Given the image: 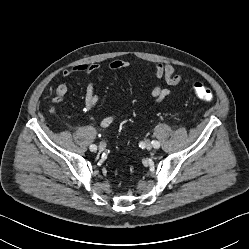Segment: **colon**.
I'll use <instances>...</instances> for the list:
<instances>
[{"instance_id":"colon-1","label":"colon","mask_w":249,"mask_h":249,"mask_svg":"<svg viewBox=\"0 0 249 249\" xmlns=\"http://www.w3.org/2000/svg\"><path fill=\"white\" fill-rule=\"evenodd\" d=\"M192 89L200 100L210 102L214 98L212 90L200 82L192 83Z\"/></svg>"}]
</instances>
